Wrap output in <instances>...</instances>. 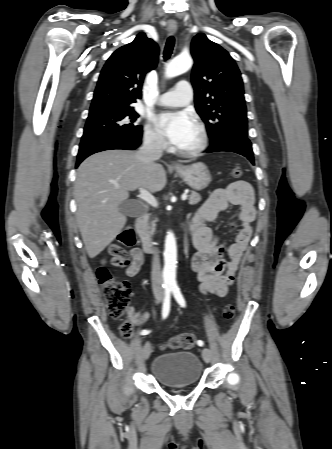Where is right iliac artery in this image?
<instances>
[{"label": "right iliac artery", "mask_w": 332, "mask_h": 449, "mask_svg": "<svg viewBox=\"0 0 332 449\" xmlns=\"http://www.w3.org/2000/svg\"><path fill=\"white\" fill-rule=\"evenodd\" d=\"M170 300H171V288L165 287L164 300L162 306V317L166 318L170 311ZM150 333V330H142L140 332L141 335H147Z\"/></svg>", "instance_id": "right-iliac-artery-1"}]
</instances>
